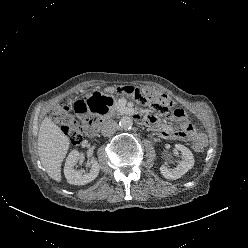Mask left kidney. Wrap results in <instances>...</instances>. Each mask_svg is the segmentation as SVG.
<instances>
[{
  "label": "left kidney",
  "instance_id": "1",
  "mask_svg": "<svg viewBox=\"0 0 248 248\" xmlns=\"http://www.w3.org/2000/svg\"><path fill=\"white\" fill-rule=\"evenodd\" d=\"M175 147L181 151L182 161L174 169H169L164 165L160 167V172L166 179H178L194 166V156L192 152L181 144H176Z\"/></svg>",
  "mask_w": 248,
  "mask_h": 248
}]
</instances>
